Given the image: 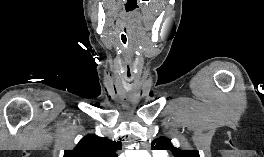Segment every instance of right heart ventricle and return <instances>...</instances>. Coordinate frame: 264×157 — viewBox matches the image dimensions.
Listing matches in <instances>:
<instances>
[{"mask_svg":"<svg viewBox=\"0 0 264 157\" xmlns=\"http://www.w3.org/2000/svg\"><path fill=\"white\" fill-rule=\"evenodd\" d=\"M154 157H168L166 154H159V153H156L154 155Z\"/></svg>","mask_w":264,"mask_h":157,"instance_id":"obj_1","label":"right heart ventricle"}]
</instances>
